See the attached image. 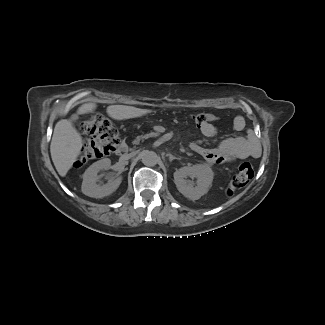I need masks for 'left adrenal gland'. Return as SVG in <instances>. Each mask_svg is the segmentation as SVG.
Returning <instances> with one entry per match:
<instances>
[{"instance_id": "obj_1", "label": "left adrenal gland", "mask_w": 325, "mask_h": 325, "mask_svg": "<svg viewBox=\"0 0 325 325\" xmlns=\"http://www.w3.org/2000/svg\"><path fill=\"white\" fill-rule=\"evenodd\" d=\"M166 156H168L169 157V161L170 162H172L174 159H181V157H175V156H173L172 154H170V153H168Z\"/></svg>"}]
</instances>
